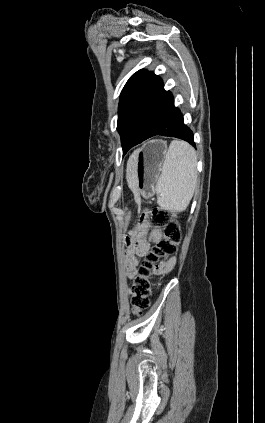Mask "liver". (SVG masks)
Returning a JSON list of instances; mask_svg holds the SVG:
<instances>
[{"label": "liver", "instance_id": "liver-1", "mask_svg": "<svg viewBox=\"0 0 265 423\" xmlns=\"http://www.w3.org/2000/svg\"><path fill=\"white\" fill-rule=\"evenodd\" d=\"M127 180L129 184H131L135 177V162L133 160V156L129 159L127 164Z\"/></svg>", "mask_w": 265, "mask_h": 423}]
</instances>
